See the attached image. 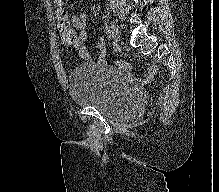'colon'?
<instances>
[{
  "mask_svg": "<svg viewBox=\"0 0 219 192\" xmlns=\"http://www.w3.org/2000/svg\"><path fill=\"white\" fill-rule=\"evenodd\" d=\"M55 2H56L57 5L61 4V0H55ZM68 27H69V24H68V22L66 21L65 18H62V19L58 20V29L67 30Z\"/></svg>",
  "mask_w": 219,
  "mask_h": 192,
  "instance_id": "colon-1",
  "label": "colon"
}]
</instances>
